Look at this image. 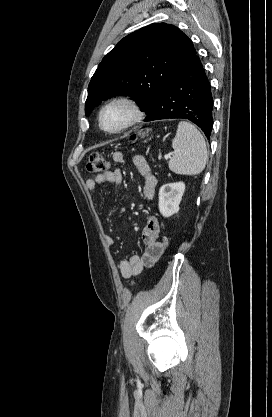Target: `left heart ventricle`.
Wrapping results in <instances>:
<instances>
[{"label": "left heart ventricle", "mask_w": 272, "mask_h": 417, "mask_svg": "<svg viewBox=\"0 0 272 417\" xmlns=\"http://www.w3.org/2000/svg\"><path fill=\"white\" fill-rule=\"evenodd\" d=\"M129 110L122 105H116L107 109L103 116V124L107 129H115L127 121Z\"/></svg>", "instance_id": "1"}]
</instances>
